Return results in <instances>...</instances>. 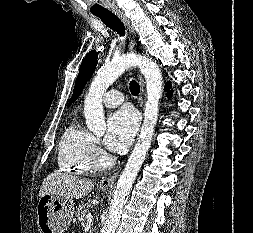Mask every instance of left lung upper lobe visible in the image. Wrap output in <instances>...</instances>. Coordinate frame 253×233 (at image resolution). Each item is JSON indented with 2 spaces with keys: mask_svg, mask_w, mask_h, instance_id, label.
<instances>
[{
  "mask_svg": "<svg viewBox=\"0 0 253 233\" xmlns=\"http://www.w3.org/2000/svg\"><path fill=\"white\" fill-rule=\"evenodd\" d=\"M97 59L98 55L97 52L94 50L90 51L84 58L82 65L79 69V74L75 82L73 95L71 97L69 105H71V103H73L78 98L87 80H89L92 76L97 65Z\"/></svg>",
  "mask_w": 253,
  "mask_h": 233,
  "instance_id": "left-lung-upper-lobe-1",
  "label": "left lung upper lobe"
}]
</instances>
